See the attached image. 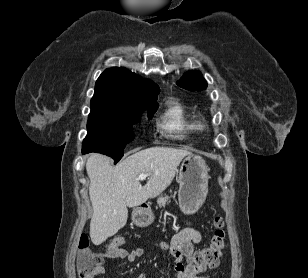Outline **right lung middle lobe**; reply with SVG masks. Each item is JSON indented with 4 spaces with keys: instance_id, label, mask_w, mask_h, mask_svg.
I'll use <instances>...</instances> for the list:
<instances>
[{
    "instance_id": "1",
    "label": "right lung middle lobe",
    "mask_w": 308,
    "mask_h": 278,
    "mask_svg": "<svg viewBox=\"0 0 308 278\" xmlns=\"http://www.w3.org/2000/svg\"><path fill=\"white\" fill-rule=\"evenodd\" d=\"M157 108V102L145 108L149 119ZM143 110L130 117L88 118V133L83 141L82 153L98 152L112 157L114 164L119 162L126 144L134 139L132 125L140 120Z\"/></svg>"
}]
</instances>
